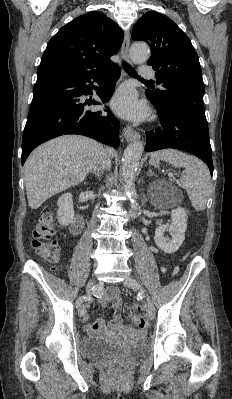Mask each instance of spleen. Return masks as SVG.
Returning <instances> with one entry per match:
<instances>
[{
	"instance_id": "spleen-1",
	"label": "spleen",
	"mask_w": 232,
	"mask_h": 399,
	"mask_svg": "<svg viewBox=\"0 0 232 399\" xmlns=\"http://www.w3.org/2000/svg\"><path fill=\"white\" fill-rule=\"evenodd\" d=\"M163 162H169L174 168H185L183 176L180 178L181 188H185L189 200L197 211L205 209L207 200L210 196L211 178L210 172L198 158L183 154L178 150H159L151 156L150 164L157 168Z\"/></svg>"
}]
</instances>
